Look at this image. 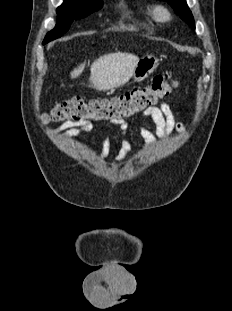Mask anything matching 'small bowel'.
Wrapping results in <instances>:
<instances>
[{
	"label": "small bowel",
	"mask_w": 232,
	"mask_h": 311,
	"mask_svg": "<svg viewBox=\"0 0 232 311\" xmlns=\"http://www.w3.org/2000/svg\"><path fill=\"white\" fill-rule=\"evenodd\" d=\"M143 116L149 119L155 126V132L150 130L146 124L141 123L139 126V134L144 141V150L150 148L156 140V137L166 136L172 131H183V125L177 121L169 105L162 102L159 106H152L143 112ZM117 126L118 130L125 138L121 149L119 150L115 163L122 164L127 159L130 151V144L127 140L129 133V124L124 121H111ZM93 130V125L90 122H72L67 121L59 127L49 131L51 135H56L61 139H69L81 134L89 133ZM110 151V133L107 132L102 143L101 158L108 157Z\"/></svg>",
	"instance_id": "c3829d8e"
}]
</instances>
